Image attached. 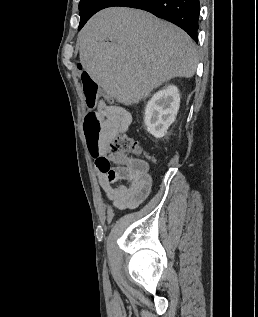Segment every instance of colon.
Listing matches in <instances>:
<instances>
[{"label": "colon", "instance_id": "1", "mask_svg": "<svg viewBox=\"0 0 258 317\" xmlns=\"http://www.w3.org/2000/svg\"><path fill=\"white\" fill-rule=\"evenodd\" d=\"M83 92L89 111L83 121V130L88 148L98 151L103 146L108 150V155L115 160H124L130 155H140V145L125 134L107 137L105 114L97 109L99 99L98 84L85 72H80Z\"/></svg>", "mask_w": 258, "mask_h": 317}]
</instances>
